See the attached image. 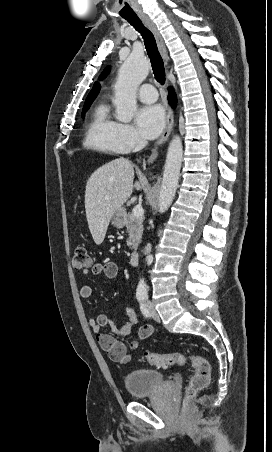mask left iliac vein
I'll return each instance as SVG.
<instances>
[{
    "instance_id": "4c4485c4",
    "label": "left iliac vein",
    "mask_w": 272,
    "mask_h": 452,
    "mask_svg": "<svg viewBox=\"0 0 272 452\" xmlns=\"http://www.w3.org/2000/svg\"><path fill=\"white\" fill-rule=\"evenodd\" d=\"M148 309H149V312H150V316L154 320L159 321V319H160L159 315H158L157 311L155 310V308H154L152 303H148Z\"/></svg>"
}]
</instances>
